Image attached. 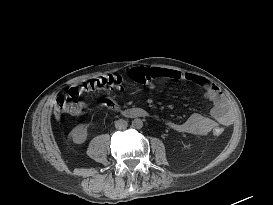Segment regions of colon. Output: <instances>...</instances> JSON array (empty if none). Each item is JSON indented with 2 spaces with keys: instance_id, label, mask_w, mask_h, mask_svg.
<instances>
[{
  "instance_id": "colon-1",
  "label": "colon",
  "mask_w": 273,
  "mask_h": 205,
  "mask_svg": "<svg viewBox=\"0 0 273 205\" xmlns=\"http://www.w3.org/2000/svg\"><path fill=\"white\" fill-rule=\"evenodd\" d=\"M150 74L147 68H133L128 73V79L136 83L148 82ZM124 78L119 75H110L92 79L83 85L84 90L95 91L100 89H116L121 88ZM81 89L73 88L72 91L63 97H59L55 101V107L58 111L66 114H79L84 110V104L79 100ZM223 130L216 128L213 130L215 136H220Z\"/></svg>"
}]
</instances>
